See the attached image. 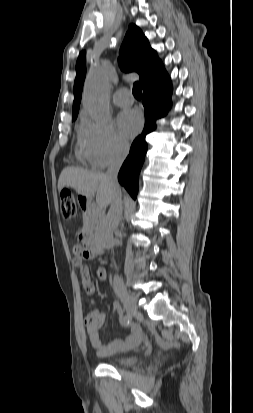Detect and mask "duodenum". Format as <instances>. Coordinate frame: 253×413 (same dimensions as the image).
I'll return each instance as SVG.
<instances>
[{"label":"duodenum","instance_id":"410a0bca","mask_svg":"<svg viewBox=\"0 0 253 413\" xmlns=\"http://www.w3.org/2000/svg\"><path fill=\"white\" fill-rule=\"evenodd\" d=\"M81 207L86 213L91 209V204L86 199L81 201ZM81 241L85 245L86 252L93 258L98 257L103 254V248L101 247L99 241L95 237L93 231L89 228L82 230L80 235Z\"/></svg>","mask_w":253,"mask_h":413}]
</instances>
